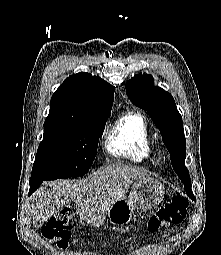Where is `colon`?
<instances>
[{
	"mask_svg": "<svg viewBox=\"0 0 221 255\" xmlns=\"http://www.w3.org/2000/svg\"><path fill=\"white\" fill-rule=\"evenodd\" d=\"M187 205L186 199L181 196L167 201L149 218L148 231L156 232L162 227L180 223L187 215ZM71 233L72 216L68 207L51 216L42 228L44 238L59 250L67 248Z\"/></svg>",
	"mask_w": 221,
	"mask_h": 255,
	"instance_id": "1",
	"label": "colon"
}]
</instances>
